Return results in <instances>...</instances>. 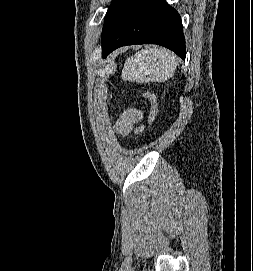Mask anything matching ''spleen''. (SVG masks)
I'll use <instances>...</instances> for the list:
<instances>
[{
    "instance_id": "1",
    "label": "spleen",
    "mask_w": 253,
    "mask_h": 271,
    "mask_svg": "<svg viewBox=\"0 0 253 271\" xmlns=\"http://www.w3.org/2000/svg\"><path fill=\"white\" fill-rule=\"evenodd\" d=\"M177 68L176 56L164 48H146L127 58L122 79L131 82H165Z\"/></svg>"
}]
</instances>
